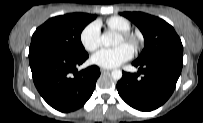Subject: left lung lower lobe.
Listing matches in <instances>:
<instances>
[{"label":"left lung lower lobe","instance_id":"0a47b994","mask_svg":"<svg viewBox=\"0 0 203 123\" xmlns=\"http://www.w3.org/2000/svg\"><path fill=\"white\" fill-rule=\"evenodd\" d=\"M133 65L139 68L138 72H123L117 90L129 106L148 112L163 105L172 95L182 70L183 54L134 61Z\"/></svg>","mask_w":203,"mask_h":123}]
</instances>
